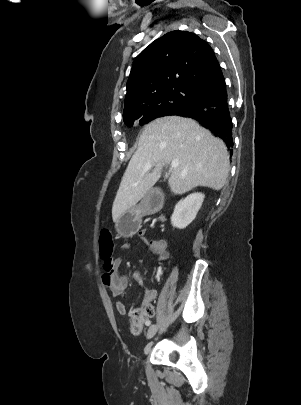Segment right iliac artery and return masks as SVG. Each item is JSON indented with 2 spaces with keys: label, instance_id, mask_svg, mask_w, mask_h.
Masks as SVG:
<instances>
[{
  "label": "right iliac artery",
  "instance_id": "82829eb1",
  "mask_svg": "<svg viewBox=\"0 0 301 405\" xmlns=\"http://www.w3.org/2000/svg\"><path fill=\"white\" fill-rule=\"evenodd\" d=\"M151 324V321H147L146 325L149 326Z\"/></svg>",
  "mask_w": 301,
  "mask_h": 405
}]
</instances>
